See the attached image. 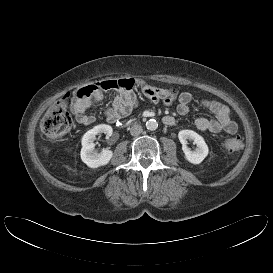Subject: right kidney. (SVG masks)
I'll return each instance as SVG.
<instances>
[{
    "mask_svg": "<svg viewBox=\"0 0 273 273\" xmlns=\"http://www.w3.org/2000/svg\"><path fill=\"white\" fill-rule=\"evenodd\" d=\"M112 127L106 124H100L93 129L87 131L82 137V149L81 159L90 168H98L109 163L113 157V152L109 149H103L100 153H97L94 140L98 134H106L107 137L112 135Z\"/></svg>",
    "mask_w": 273,
    "mask_h": 273,
    "instance_id": "obj_1",
    "label": "right kidney"
}]
</instances>
